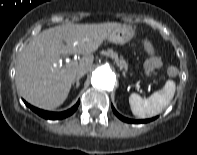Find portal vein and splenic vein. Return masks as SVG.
<instances>
[{
    "label": "portal vein and splenic vein",
    "mask_w": 197,
    "mask_h": 155,
    "mask_svg": "<svg viewBox=\"0 0 197 155\" xmlns=\"http://www.w3.org/2000/svg\"><path fill=\"white\" fill-rule=\"evenodd\" d=\"M76 64H77L76 61H72V62H68L67 66L70 67V66H73V65H76Z\"/></svg>",
    "instance_id": "obj_1"
}]
</instances>
